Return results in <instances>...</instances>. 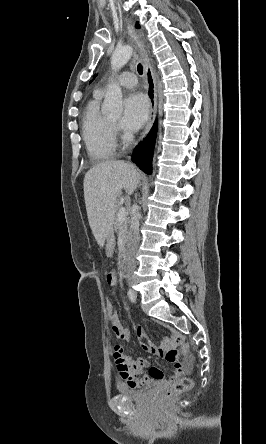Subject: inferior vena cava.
Wrapping results in <instances>:
<instances>
[{
	"mask_svg": "<svg viewBox=\"0 0 266 444\" xmlns=\"http://www.w3.org/2000/svg\"><path fill=\"white\" fill-rule=\"evenodd\" d=\"M139 219L138 206L134 205L131 213L130 230L128 236V260L127 268L129 271L135 269V250L139 243Z\"/></svg>",
	"mask_w": 266,
	"mask_h": 444,
	"instance_id": "obj_1",
	"label": "inferior vena cava"
}]
</instances>
